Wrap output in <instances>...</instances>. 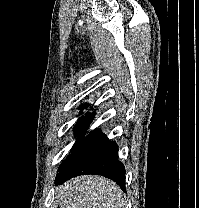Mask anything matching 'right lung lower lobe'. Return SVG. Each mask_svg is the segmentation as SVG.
Instances as JSON below:
<instances>
[{
  "label": "right lung lower lobe",
  "instance_id": "98d812e1",
  "mask_svg": "<svg viewBox=\"0 0 199 208\" xmlns=\"http://www.w3.org/2000/svg\"><path fill=\"white\" fill-rule=\"evenodd\" d=\"M118 146L96 129L82 140L74 158L56 176L55 184L84 174H98L112 179L125 189V168L117 158Z\"/></svg>",
  "mask_w": 199,
  "mask_h": 208
}]
</instances>
